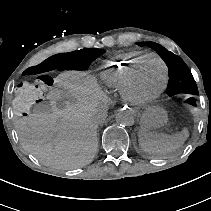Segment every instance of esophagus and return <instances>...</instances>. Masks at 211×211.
<instances>
[{"mask_svg": "<svg viewBox=\"0 0 211 211\" xmlns=\"http://www.w3.org/2000/svg\"><path fill=\"white\" fill-rule=\"evenodd\" d=\"M117 109L120 112H125V113H128V114H131L134 111L133 106L128 105V104H123V103L118 104Z\"/></svg>", "mask_w": 211, "mask_h": 211, "instance_id": "1", "label": "esophagus"}]
</instances>
